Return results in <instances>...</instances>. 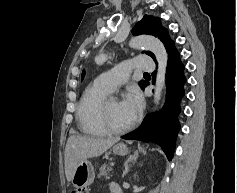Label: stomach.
I'll return each mask as SVG.
<instances>
[{
	"label": "stomach",
	"mask_w": 237,
	"mask_h": 193,
	"mask_svg": "<svg viewBox=\"0 0 237 193\" xmlns=\"http://www.w3.org/2000/svg\"><path fill=\"white\" fill-rule=\"evenodd\" d=\"M114 154L125 156L128 154L129 149L124 143H117L112 147ZM95 178L94 167L91 162L84 160L80 162L73 174L72 184L77 188H84L92 184Z\"/></svg>",
	"instance_id": "stomach-1"
}]
</instances>
